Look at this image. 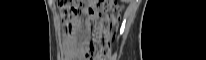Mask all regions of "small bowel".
<instances>
[{
  "label": "small bowel",
  "mask_w": 206,
  "mask_h": 60,
  "mask_svg": "<svg viewBox=\"0 0 206 60\" xmlns=\"http://www.w3.org/2000/svg\"><path fill=\"white\" fill-rule=\"evenodd\" d=\"M65 56L68 60H75L80 56V50L75 48L74 39L70 34L65 43Z\"/></svg>",
  "instance_id": "1"
}]
</instances>
